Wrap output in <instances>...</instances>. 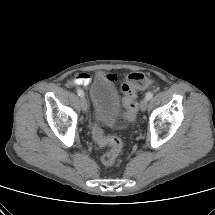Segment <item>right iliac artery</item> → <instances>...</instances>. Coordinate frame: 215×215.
Wrapping results in <instances>:
<instances>
[{"instance_id":"obj_1","label":"right iliac artery","mask_w":215,"mask_h":215,"mask_svg":"<svg viewBox=\"0 0 215 215\" xmlns=\"http://www.w3.org/2000/svg\"><path fill=\"white\" fill-rule=\"evenodd\" d=\"M77 93H78L79 97H81V98L84 97V93L81 89H77Z\"/></svg>"}]
</instances>
